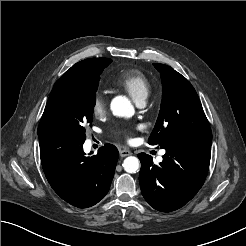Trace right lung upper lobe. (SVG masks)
Returning a JSON list of instances; mask_svg holds the SVG:
<instances>
[{
	"label": "right lung upper lobe",
	"mask_w": 246,
	"mask_h": 246,
	"mask_svg": "<svg viewBox=\"0 0 246 246\" xmlns=\"http://www.w3.org/2000/svg\"><path fill=\"white\" fill-rule=\"evenodd\" d=\"M91 59V58H90ZM90 59L80 61L73 65L65 74H63L56 83H61L65 80L71 79L79 74H81L86 66L89 64Z\"/></svg>",
	"instance_id": "obj_1"
}]
</instances>
